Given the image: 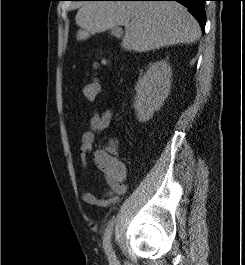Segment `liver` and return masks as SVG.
I'll list each match as a JSON object with an SVG mask.
<instances>
[{
	"label": "liver",
	"mask_w": 245,
	"mask_h": 265,
	"mask_svg": "<svg viewBox=\"0 0 245 265\" xmlns=\"http://www.w3.org/2000/svg\"><path fill=\"white\" fill-rule=\"evenodd\" d=\"M75 21L77 40L125 26L122 47L147 52L180 43H195L201 36L198 22L174 1H86L79 4Z\"/></svg>",
	"instance_id": "1"
}]
</instances>
